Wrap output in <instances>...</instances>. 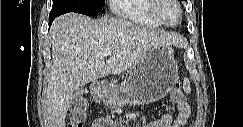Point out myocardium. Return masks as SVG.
Wrapping results in <instances>:
<instances>
[{"instance_id": "obj_1", "label": "myocardium", "mask_w": 243, "mask_h": 127, "mask_svg": "<svg viewBox=\"0 0 243 127\" xmlns=\"http://www.w3.org/2000/svg\"><path fill=\"white\" fill-rule=\"evenodd\" d=\"M166 1H172L173 3H175V5L178 7L179 12H180V16L179 19L175 22V23H169L167 22L164 17L162 16L161 13V8L164 5V3ZM153 5H152V14L154 16V18L163 26L166 27H175L177 25H179L184 17V10L180 4V2L178 0H152Z\"/></svg>"}]
</instances>
